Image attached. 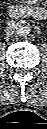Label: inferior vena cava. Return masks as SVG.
Masks as SVG:
<instances>
[{"mask_svg": "<svg viewBox=\"0 0 47 129\" xmlns=\"http://www.w3.org/2000/svg\"><path fill=\"white\" fill-rule=\"evenodd\" d=\"M14 24H10L7 29H6V33L9 35L13 32V29H14Z\"/></svg>", "mask_w": 47, "mask_h": 129, "instance_id": "602c4592", "label": "inferior vena cava"}]
</instances>
